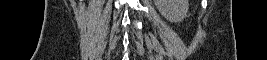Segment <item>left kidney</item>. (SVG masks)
Masks as SVG:
<instances>
[{
	"instance_id": "left-kidney-1",
	"label": "left kidney",
	"mask_w": 267,
	"mask_h": 60,
	"mask_svg": "<svg viewBox=\"0 0 267 60\" xmlns=\"http://www.w3.org/2000/svg\"><path fill=\"white\" fill-rule=\"evenodd\" d=\"M154 4L161 15L171 23L181 22L189 10L188 0H154Z\"/></svg>"
}]
</instances>
